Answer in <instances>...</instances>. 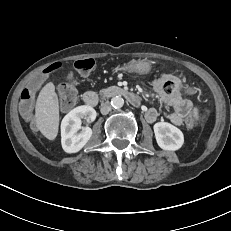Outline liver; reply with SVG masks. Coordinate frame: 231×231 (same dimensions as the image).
Segmentation results:
<instances>
[{
    "mask_svg": "<svg viewBox=\"0 0 231 231\" xmlns=\"http://www.w3.org/2000/svg\"><path fill=\"white\" fill-rule=\"evenodd\" d=\"M35 121L38 130L48 139L54 140L59 129V101L52 82L40 91L35 106Z\"/></svg>",
    "mask_w": 231,
    "mask_h": 231,
    "instance_id": "obj_1",
    "label": "liver"
}]
</instances>
